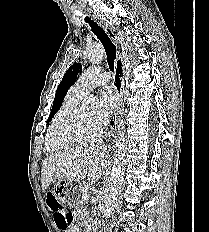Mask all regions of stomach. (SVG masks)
Listing matches in <instances>:
<instances>
[{
  "instance_id": "obj_1",
  "label": "stomach",
  "mask_w": 209,
  "mask_h": 232,
  "mask_svg": "<svg viewBox=\"0 0 209 232\" xmlns=\"http://www.w3.org/2000/svg\"><path fill=\"white\" fill-rule=\"evenodd\" d=\"M62 181L56 182L53 192L58 203H76V199L81 197V182H69V179H65V182Z\"/></svg>"
}]
</instances>
